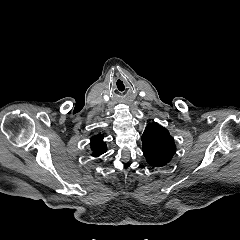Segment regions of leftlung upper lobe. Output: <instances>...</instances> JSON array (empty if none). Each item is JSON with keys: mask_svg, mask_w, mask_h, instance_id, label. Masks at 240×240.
I'll use <instances>...</instances> for the list:
<instances>
[{"mask_svg": "<svg viewBox=\"0 0 240 240\" xmlns=\"http://www.w3.org/2000/svg\"><path fill=\"white\" fill-rule=\"evenodd\" d=\"M142 147L148 164L153 167H162L169 163L176 151L169 131L155 122L145 128Z\"/></svg>", "mask_w": 240, "mask_h": 240, "instance_id": "left-lung-upper-lobe-1", "label": "left lung upper lobe"}]
</instances>
